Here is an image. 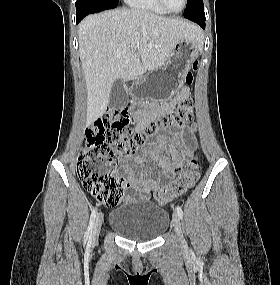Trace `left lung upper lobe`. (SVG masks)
<instances>
[{"label":"left lung upper lobe","instance_id":"obj_1","mask_svg":"<svg viewBox=\"0 0 280 285\" xmlns=\"http://www.w3.org/2000/svg\"><path fill=\"white\" fill-rule=\"evenodd\" d=\"M205 15L203 0H187V6L184 10V17L192 20Z\"/></svg>","mask_w":280,"mask_h":285}]
</instances>
